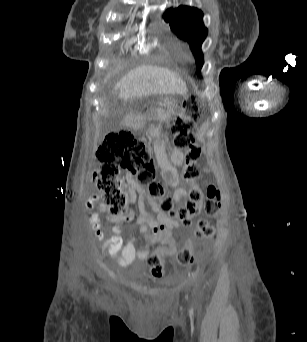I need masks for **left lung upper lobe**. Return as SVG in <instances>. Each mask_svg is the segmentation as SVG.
I'll use <instances>...</instances> for the list:
<instances>
[{
	"label": "left lung upper lobe",
	"mask_w": 307,
	"mask_h": 342,
	"mask_svg": "<svg viewBox=\"0 0 307 342\" xmlns=\"http://www.w3.org/2000/svg\"><path fill=\"white\" fill-rule=\"evenodd\" d=\"M163 16L178 37L190 43L196 58L197 70L200 71L204 63L201 44L207 36V29L202 21L203 13L194 7L179 6L176 9H168Z\"/></svg>",
	"instance_id": "obj_1"
}]
</instances>
